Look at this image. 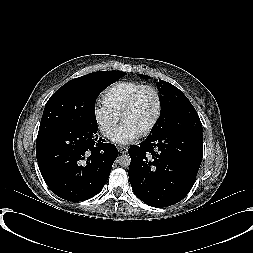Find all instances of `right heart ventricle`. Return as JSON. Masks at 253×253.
<instances>
[{
	"mask_svg": "<svg viewBox=\"0 0 253 253\" xmlns=\"http://www.w3.org/2000/svg\"><path fill=\"white\" fill-rule=\"evenodd\" d=\"M144 85L146 84L131 80L117 81L104 90L102 101L114 113L120 115L129 97Z\"/></svg>",
	"mask_w": 253,
	"mask_h": 253,
	"instance_id": "obj_1",
	"label": "right heart ventricle"
}]
</instances>
